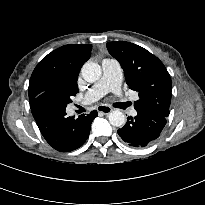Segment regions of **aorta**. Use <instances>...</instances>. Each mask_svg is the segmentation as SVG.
I'll return each instance as SVG.
<instances>
[{
  "label": "aorta",
  "mask_w": 205,
  "mask_h": 205,
  "mask_svg": "<svg viewBox=\"0 0 205 205\" xmlns=\"http://www.w3.org/2000/svg\"><path fill=\"white\" fill-rule=\"evenodd\" d=\"M82 77L87 82H95L100 79L102 69L99 64L94 62H86L81 69ZM109 122L112 126L122 127L125 124L126 117L120 110H114L108 115Z\"/></svg>",
  "instance_id": "obj_1"
}]
</instances>
